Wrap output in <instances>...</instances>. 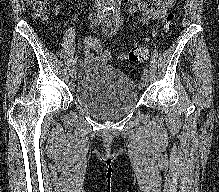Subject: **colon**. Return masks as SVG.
<instances>
[{"label":"colon","mask_w":219,"mask_h":192,"mask_svg":"<svg viewBox=\"0 0 219 192\" xmlns=\"http://www.w3.org/2000/svg\"><path fill=\"white\" fill-rule=\"evenodd\" d=\"M32 10L35 17L44 19L48 17L50 12V5L47 0H31ZM175 23V17L173 13H168L162 22V30L164 32L169 31ZM148 53V45H136L124 54V59L129 62H137L141 60ZM103 59L109 60L110 53L104 51L102 54Z\"/></svg>","instance_id":"5ec220e1"}]
</instances>
